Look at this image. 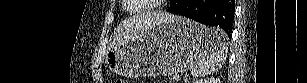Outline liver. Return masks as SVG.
I'll return each mask as SVG.
<instances>
[{
  "instance_id": "6515ba94",
  "label": "liver",
  "mask_w": 307,
  "mask_h": 83,
  "mask_svg": "<svg viewBox=\"0 0 307 83\" xmlns=\"http://www.w3.org/2000/svg\"><path fill=\"white\" fill-rule=\"evenodd\" d=\"M172 16L173 15L164 12H151L145 15L129 18L117 26L111 37V44L112 46H115L127 42L152 26L171 20Z\"/></svg>"
}]
</instances>
